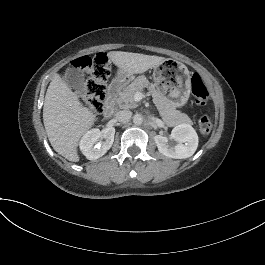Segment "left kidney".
I'll return each mask as SVG.
<instances>
[{
	"label": "left kidney",
	"instance_id": "obj_1",
	"mask_svg": "<svg viewBox=\"0 0 265 265\" xmlns=\"http://www.w3.org/2000/svg\"><path fill=\"white\" fill-rule=\"evenodd\" d=\"M154 141L161 154L174 159L191 157L198 147V135L187 123L175 126L170 138L156 135Z\"/></svg>",
	"mask_w": 265,
	"mask_h": 265
}]
</instances>
